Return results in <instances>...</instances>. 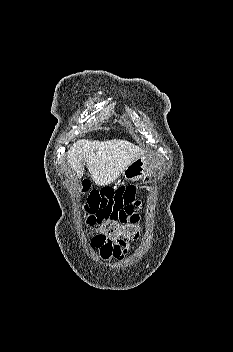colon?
I'll return each instance as SVG.
<instances>
[{
    "instance_id": "obj_1",
    "label": "colon",
    "mask_w": 233,
    "mask_h": 352,
    "mask_svg": "<svg viewBox=\"0 0 233 352\" xmlns=\"http://www.w3.org/2000/svg\"><path fill=\"white\" fill-rule=\"evenodd\" d=\"M97 225V235L105 241H131L137 239L142 229L135 223H122L115 219H106L93 223Z\"/></svg>"
}]
</instances>
